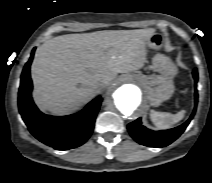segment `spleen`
Masks as SVG:
<instances>
[{
    "instance_id": "3e777b00",
    "label": "spleen",
    "mask_w": 212,
    "mask_h": 183,
    "mask_svg": "<svg viewBox=\"0 0 212 183\" xmlns=\"http://www.w3.org/2000/svg\"><path fill=\"white\" fill-rule=\"evenodd\" d=\"M185 110H181L176 114L168 112H157L155 110L150 111L151 121L158 129H168L180 120L183 119Z\"/></svg>"
}]
</instances>
